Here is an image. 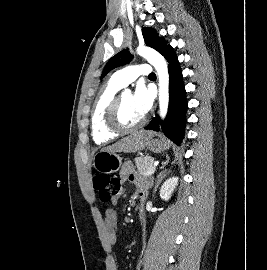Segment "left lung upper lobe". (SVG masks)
<instances>
[{
  "instance_id": "left-lung-upper-lobe-1",
  "label": "left lung upper lobe",
  "mask_w": 267,
  "mask_h": 270,
  "mask_svg": "<svg viewBox=\"0 0 267 270\" xmlns=\"http://www.w3.org/2000/svg\"><path fill=\"white\" fill-rule=\"evenodd\" d=\"M142 34L145 40L146 45L151 48H154L163 56L166 54L167 50L171 47L166 45V41L162 37L156 35L155 30L152 28L145 27L142 29ZM133 56L129 53L128 49H124L114 55L106 64L101 79L112 69L125 65L132 60Z\"/></svg>"
}]
</instances>
